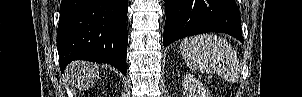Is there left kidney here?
Wrapping results in <instances>:
<instances>
[{"mask_svg": "<svg viewBox=\"0 0 302 97\" xmlns=\"http://www.w3.org/2000/svg\"><path fill=\"white\" fill-rule=\"evenodd\" d=\"M183 91L186 97H210L203 84L190 74L184 76Z\"/></svg>", "mask_w": 302, "mask_h": 97, "instance_id": "5707ae66", "label": "left kidney"}]
</instances>
